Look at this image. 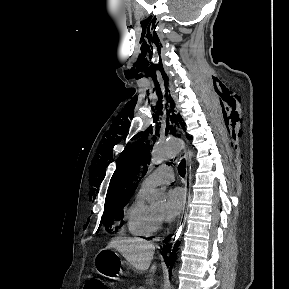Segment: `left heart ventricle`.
<instances>
[{
  "label": "left heart ventricle",
  "mask_w": 289,
  "mask_h": 289,
  "mask_svg": "<svg viewBox=\"0 0 289 289\" xmlns=\"http://www.w3.org/2000/svg\"><path fill=\"white\" fill-rule=\"evenodd\" d=\"M164 206H165L164 202H159L153 205L151 208L160 218H162Z\"/></svg>",
  "instance_id": "1"
}]
</instances>
